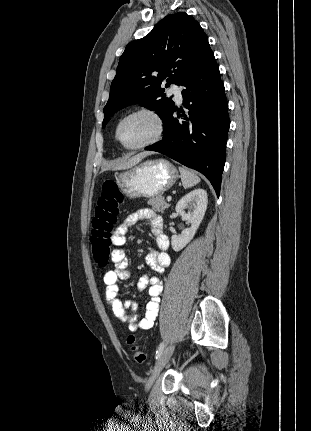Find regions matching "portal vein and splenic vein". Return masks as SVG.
Masks as SVG:
<instances>
[{
  "label": "portal vein and splenic vein",
  "instance_id": "1",
  "mask_svg": "<svg viewBox=\"0 0 311 431\" xmlns=\"http://www.w3.org/2000/svg\"><path fill=\"white\" fill-rule=\"evenodd\" d=\"M166 200H167V202H171V200H172L171 196H167Z\"/></svg>",
  "mask_w": 311,
  "mask_h": 431
}]
</instances>
